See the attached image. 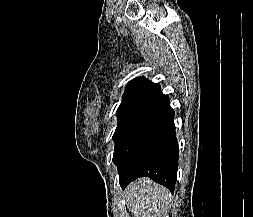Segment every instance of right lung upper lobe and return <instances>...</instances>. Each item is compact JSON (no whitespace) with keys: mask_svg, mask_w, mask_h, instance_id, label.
Returning a JSON list of instances; mask_svg holds the SVG:
<instances>
[{"mask_svg":"<svg viewBox=\"0 0 253 217\" xmlns=\"http://www.w3.org/2000/svg\"><path fill=\"white\" fill-rule=\"evenodd\" d=\"M163 95L158 84L141 77L129 82L122 103L127 102H149L152 103ZM121 103V104H122Z\"/></svg>","mask_w":253,"mask_h":217,"instance_id":"cb5924a9","label":"right lung upper lobe"}]
</instances>
